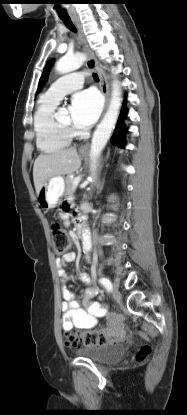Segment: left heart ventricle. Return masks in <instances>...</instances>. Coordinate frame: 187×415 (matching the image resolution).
Instances as JSON below:
<instances>
[{
	"instance_id": "1",
	"label": "left heart ventricle",
	"mask_w": 187,
	"mask_h": 415,
	"mask_svg": "<svg viewBox=\"0 0 187 415\" xmlns=\"http://www.w3.org/2000/svg\"><path fill=\"white\" fill-rule=\"evenodd\" d=\"M58 120L65 125H71V118H70V114L67 112L63 115H61Z\"/></svg>"
}]
</instances>
